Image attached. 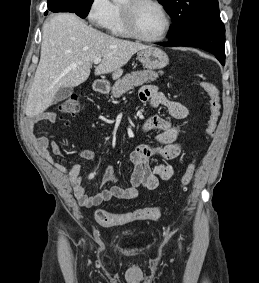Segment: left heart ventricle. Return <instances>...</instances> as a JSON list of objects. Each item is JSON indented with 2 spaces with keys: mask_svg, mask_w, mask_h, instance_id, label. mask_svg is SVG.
Returning <instances> with one entry per match:
<instances>
[{
  "mask_svg": "<svg viewBox=\"0 0 259 283\" xmlns=\"http://www.w3.org/2000/svg\"><path fill=\"white\" fill-rule=\"evenodd\" d=\"M139 31L148 37H159L166 28L163 12L154 4L143 3L136 10Z\"/></svg>",
  "mask_w": 259,
  "mask_h": 283,
  "instance_id": "b2bd125f",
  "label": "left heart ventricle"
}]
</instances>
